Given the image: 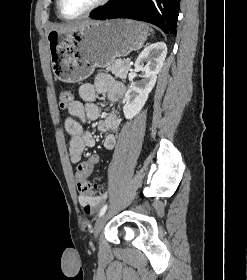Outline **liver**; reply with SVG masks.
<instances>
[{
  "label": "liver",
  "instance_id": "1",
  "mask_svg": "<svg viewBox=\"0 0 247 280\" xmlns=\"http://www.w3.org/2000/svg\"><path fill=\"white\" fill-rule=\"evenodd\" d=\"M95 21H83V22H74V23H68L66 25H56L53 27V30L59 31V32H69V31H76L78 29H82Z\"/></svg>",
  "mask_w": 247,
  "mask_h": 280
}]
</instances>
